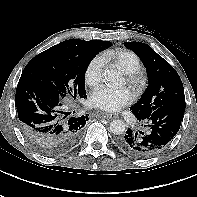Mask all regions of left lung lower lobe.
<instances>
[{"instance_id": "obj_1", "label": "left lung lower lobe", "mask_w": 197, "mask_h": 197, "mask_svg": "<svg viewBox=\"0 0 197 197\" xmlns=\"http://www.w3.org/2000/svg\"><path fill=\"white\" fill-rule=\"evenodd\" d=\"M185 107V102L164 104L146 118L138 119L144 131L128 129L118 140L120 149L135 158H150L160 153L179 131Z\"/></svg>"}]
</instances>
